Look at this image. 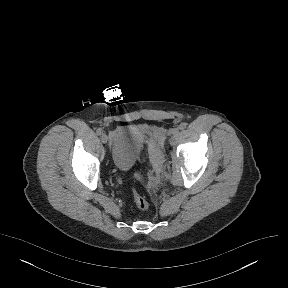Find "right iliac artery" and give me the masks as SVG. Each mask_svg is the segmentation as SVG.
Listing matches in <instances>:
<instances>
[{"label":"right iliac artery","instance_id":"obj_1","mask_svg":"<svg viewBox=\"0 0 288 288\" xmlns=\"http://www.w3.org/2000/svg\"><path fill=\"white\" fill-rule=\"evenodd\" d=\"M96 133H97L98 135H101V134H103V130H102L101 128H98V129L96 130Z\"/></svg>","mask_w":288,"mask_h":288}]
</instances>
